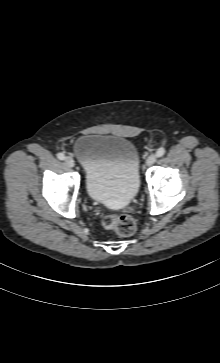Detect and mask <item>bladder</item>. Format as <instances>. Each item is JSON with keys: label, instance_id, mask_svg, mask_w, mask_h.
Here are the masks:
<instances>
[{"label": "bladder", "instance_id": "31cf9c89", "mask_svg": "<svg viewBox=\"0 0 220 363\" xmlns=\"http://www.w3.org/2000/svg\"><path fill=\"white\" fill-rule=\"evenodd\" d=\"M73 153L92 200L123 208L135 198L140 188V158L132 141L114 135H85L75 141Z\"/></svg>", "mask_w": 220, "mask_h": 363}]
</instances>
